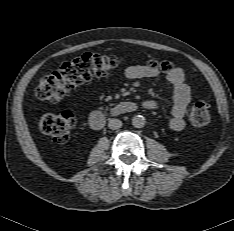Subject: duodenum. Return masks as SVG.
<instances>
[{"label":"duodenum","mask_w":234,"mask_h":231,"mask_svg":"<svg viewBox=\"0 0 234 231\" xmlns=\"http://www.w3.org/2000/svg\"><path fill=\"white\" fill-rule=\"evenodd\" d=\"M136 110V104L130 101H124L116 104L108 111H96L89 117L90 126L93 129H101L104 127L108 116H122L133 113Z\"/></svg>","instance_id":"410a0bca"}]
</instances>
